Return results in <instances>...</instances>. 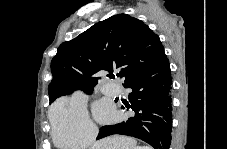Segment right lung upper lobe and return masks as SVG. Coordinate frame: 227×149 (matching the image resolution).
<instances>
[{"instance_id": "obj_1", "label": "right lung upper lobe", "mask_w": 227, "mask_h": 149, "mask_svg": "<svg viewBox=\"0 0 227 149\" xmlns=\"http://www.w3.org/2000/svg\"><path fill=\"white\" fill-rule=\"evenodd\" d=\"M165 58L159 36L147 25L126 14L114 15L59 46L51 62L50 102L78 88L89 93L100 71L119 70L126 82Z\"/></svg>"}]
</instances>
